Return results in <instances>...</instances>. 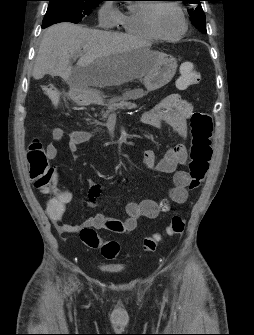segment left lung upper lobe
Masks as SVG:
<instances>
[{"label":"left lung upper lobe","instance_id":"5c2ea615","mask_svg":"<svg viewBox=\"0 0 254 335\" xmlns=\"http://www.w3.org/2000/svg\"><path fill=\"white\" fill-rule=\"evenodd\" d=\"M182 1H185L192 6V8L188 10L189 15L191 16V21L201 33L206 34L205 15L200 3L202 0Z\"/></svg>","mask_w":254,"mask_h":335}]
</instances>
